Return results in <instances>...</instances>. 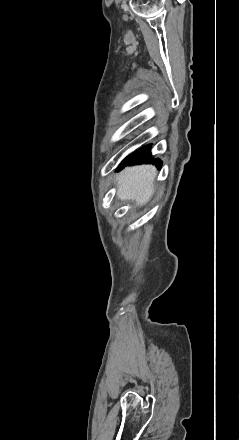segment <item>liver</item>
Here are the masks:
<instances>
[{"instance_id":"6515ba94","label":"liver","mask_w":239,"mask_h":440,"mask_svg":"<svg viewBox=\"0 0 239 440\" xmlns=\"http://www.w3.org/2000/svg\"><path fill=\"white\" fill-rule=\"evenodd\" d=\"M157 170L154 166L125 168L116 176L118 200H131L136 206H145L154 194V180Z\"/></svg>"}]
</instances>
